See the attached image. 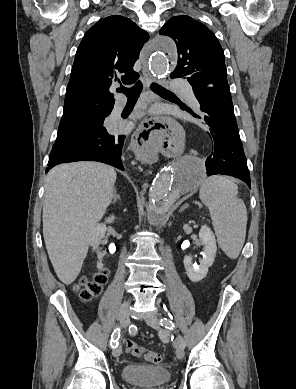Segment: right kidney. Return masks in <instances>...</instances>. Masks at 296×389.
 <instances>
[{
	"instance_id": "right-kidney-1",
	"label": "right kidney",
	"mask_w": 296,
	"mask_h": 389,
	"mask_svg": "<svg viewBox=\"0 0 296 389\" xmlns=\"http://www.w3.org/2000/svg\"><path fill=\"white\" fill-rule=\"evenodd\" d=\"M114 220H115V216H114V215H111L110 217H108V218L105 220L104 223L98 224V225L95 227L94 233H93V236H92V239H91V242H90V244H91L93 250H95V249L99 246L101 240L104 238L105 233H106V224H107V223H108V224H109V223H112V222H114ZM102 267H103V264H102L101 261H99V262L97 263V268H98V269H101Z\"/></svg>"
}]
</instances>
